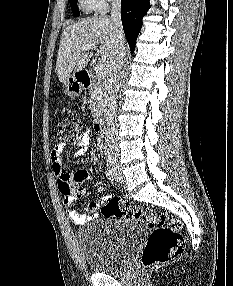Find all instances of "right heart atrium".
I'll list each match as a JSON object with an SVG mask.
<instances>
[{"label":"right heart atrium","mask_w":233,"mask_h":286,"mask_svg":"<svg viewBox=\"0 0 233 286\" xmlns=\"http://www.w3.org/2000/svg\"><path fill=\"white\" fill-rule=\"evenodd\" d=\"M111 0H92L95 10L105 11L108 7V2Z\"/></svg>","instance_id":"obj_1"}]
</instances>
